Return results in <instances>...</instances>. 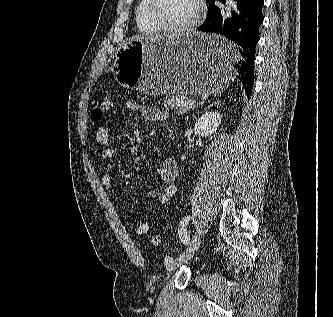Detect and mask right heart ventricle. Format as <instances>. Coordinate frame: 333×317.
<instances>
[{"label":"right heart ventricle","mask_w":333,"mask_h":317,"mask_svg":"<svg viewBox=\"0 0 333 317\" xmlns=\"http://www.w3.org/2000/svg\"><path fill=\"white\" fill-rule=\"evenodd\" d=\"M147 0H140L136 12L135 20L138 30L147 35H153L160 32V30L150 21L146 11Z\"/></svg>","instance_id":"right-heart-ventricle-1"}]
</instances>
